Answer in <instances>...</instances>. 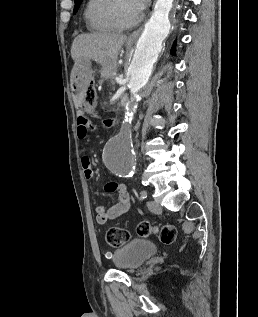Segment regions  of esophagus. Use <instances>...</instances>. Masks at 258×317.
Segmentation results:
<instances>
[{
	"label": "esophagus",
	"mask_w": 258,
	"mask_h": 317,
	"mask_svg": "<svg viewBox=\"0 0 258 317\" xmlns=\"http://www.w3.org/2000/svg\"><path fill=\"white\" fill-rule=\"evenodd\" d=\"M142 29H143V26H141L140 28H138L134 32L130 33V35H128V40L137 39Z\"/></svg>",
	"instance_id": "obj_1"
}]
</instances>
